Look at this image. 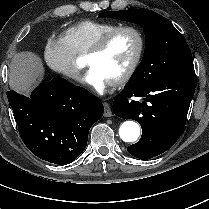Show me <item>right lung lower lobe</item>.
<instances>
[{"label": "right lung lower lobe", "mask_w": 209, "mask_h": 209, "mask_svg": "<svg viewBox=\"0 0 209 209\" xmlns=\"http://www.w3.org/2000/svg\"><path fill=\"white\" fill-rule=\"evenodd\" d=\"M7 97L24 144L37 157L59 165L84 151L91 126L104 113L96 96L61 77L41 83L30 97L15 91Z\"/></svg>", "instance_id": "obj_1"}]
</instances>
